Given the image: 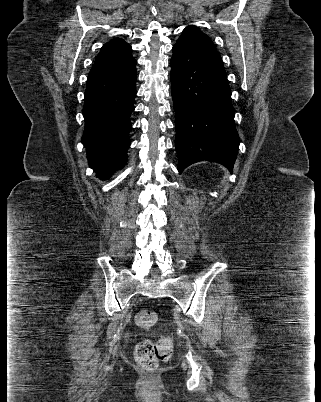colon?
Listing matches in <instances>:
<instances>
[{"mask_svg":"<svg viewBox=\"0 0 321 402\" xmlns=\"http://www.w3.org/2000/svg\"><path fill=\"white\" fill-rule=\"evenodd\" d=\"M158 321L157 314L150 310H141L136 314L135 322L140 328L150 329ZM171 338L162 337L158 340L146 339L139 342L135 348L136 362L145 370H155L160 362L166 361L172 354Z\"/></svg>","mask_w":321,"mask_h":402,"instance_id":"5ec220e1","label":"colon"}]
</instances>
